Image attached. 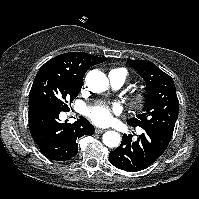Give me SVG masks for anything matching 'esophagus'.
<instances>
[{
	"label": "esophagus",
	"instance_id": "obj_1",
	"mask_svg": "<svg viewBox=\"0 0 199 199\" xmlns=\"http://www.w3.org/2000/svg\"><path fill=\"white\" fill-rule=\"evenodd\" d=\"M105 130L104 129H100V128H96L95 129V133L96 134H101V133H103Z\"/></svg>",
	"mask_w": 199,
	"mask_h": 199
}]
</instances>
